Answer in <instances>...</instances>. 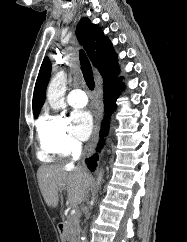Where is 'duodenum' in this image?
Here are the masks:
<instances>
[{"label":"duodenum","instance_id":"410a0bca","mask_svg":"<svg viewBox=\"0 0 187 242\" xmlns=\"http://www.w3.org/2000/svg\"><path fill=\"white\" fill-rule=\"evenodd\" d=\"M57 229H58L60 236H62L64 234V230H65L64 223H59L58 226H57Z\"/></svg>","mask_w":187,"mask_h":242}]
</instances>
